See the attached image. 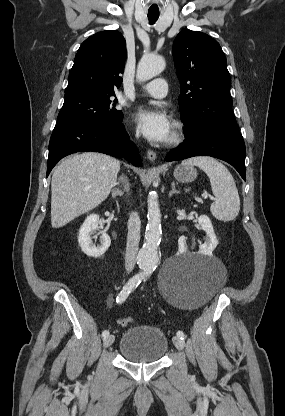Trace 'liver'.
I'll use <instances>...</instances> for the list:
<instances>
[{
    "label": "liver",
    "instance_id": "1",
    "mask_svg": "<svg viewBox=\"0 0 285 416\" xmlns=\"http://www.w3.org/2000/svg\"><path fill=\"white\" fill-rule=\"evenodd\" d=\"M120 170L119 160L86 152L63 160L51 182V224L62 228L108 198Z\"/></svg>",
    "mask_w": 285,
    "mask_h": 416
}]
</instances>
